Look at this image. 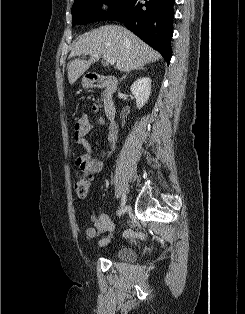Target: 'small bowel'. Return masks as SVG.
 <instances>
[{
  "mask_svg": "<svg viewBox=\"0 0 245 314\" xmlns=\"http://www.w3.org/2000/svg\"><path fill=\"white\" fill-rule=\"evenodd\" d=\"M98 106H94L93 110L97 111ZM99 122L105 126V120L100 117ZM91 130L90 119L87 114H84L75 124L74 128V141L85 149V154L80 156L76 160L78 167L90 171L92 174H96L102 171L105 164L112 158L116 151V144L118 139V133L115 126H108L107 141L108 147L103 149L97 156L94 155L91 144L85 139V135ZM95 228H88L85 234L88 238H94L97 233H105L113 231L115 228L114 223L106 214H99L94 217ZM128 237L144 238V233L137 231H127ZM110 241L109 238H103L100 244H106Z\"/></svg>",
  "mask_w": 245,
  "mask_h": 314,
  "instance_id": "small-bowel-1",
  "label": "small bowel"
}]
</instances>
